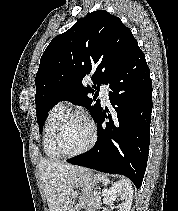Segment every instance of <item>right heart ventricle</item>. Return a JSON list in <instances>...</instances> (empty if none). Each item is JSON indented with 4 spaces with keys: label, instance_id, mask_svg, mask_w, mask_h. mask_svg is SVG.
I'll return each mask as SVG.
<instances>
[{
    "label": "right heart ventricle",
    "instance_id": "1",
    "mask_svg": "<svg viewBox=\"0 0 178 211\" xmlns=\"http://www.w3.org/2000/svg\"><path fill=\"white\" fill-rule=\"evenodd\" d=\"M68 108L63 103L55 104L48 113L44 125L43 149L49 159L61 158L54 147V136L61 120L68 112Z\"/></svg>",
    "mask_w": 178,
    "mask_h": 211
}]
</instances>
